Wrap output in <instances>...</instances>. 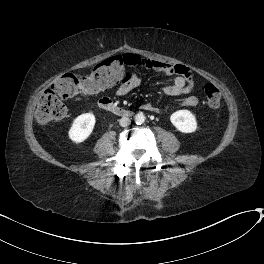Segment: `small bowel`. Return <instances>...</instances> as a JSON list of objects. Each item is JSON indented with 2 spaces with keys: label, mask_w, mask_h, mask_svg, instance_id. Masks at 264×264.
Returning a JSON list of instances; mask_svg holds the SVG:
<instances>
[{
  "label": "small bowel",
  "mask_w": 264,
  "mask_h": 264,
  "mask_svg": "<svg viewBox=\"0 0 264 264\" xmlns=\"http://www.w3.org/2000/svg\"><path fill=\"white\" fill-rule=\"evenodd\" d=\"M131 56L135 60V67L162 73L166 76H173L170 83L163 87V91L168 95H187L186 98L181 101L180 105L184 107H195L198 104V98L192 95L194 82L189 76L187 66L143 58L137 55ZM141 83L142 79L139 76L134 73H128L116 88L115 94L117 96H125L135 88L139 87ZM168 108L169 106L158 107L150 102L142 105V109L148 112H162L166 111Z\"/></svg>",
  "instance_id": "small-bowel-1"
}]
</instances>
